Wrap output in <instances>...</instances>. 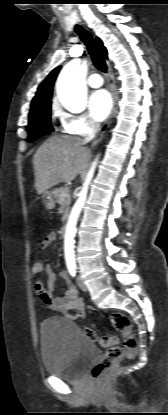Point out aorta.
I'll return each mask as SVG.
<instances>
[{"instance_id": "1", "label": "aorta", "mask_w": 168, "mask_h": 415, "mask_svg": "<svg viewBox=\"0 0 168 415\" xmlns=\"http://www.w3.org/2000/svg\"><path fill=\"white\" fill-rule=\"evenodd\" d=\"M87 72L86 62L75 59L68 63L60 72L57 79V96L61 104L71 112H82L86 108L87 88L85 77ZM97 159L92 163L91 168L86 176L85 182L79 193V197L74 204L64 236V251L68 265H74V237L76 233V225L81 210L86 201L88 188L93 178Z\"/></svg>"}]
</instances>
